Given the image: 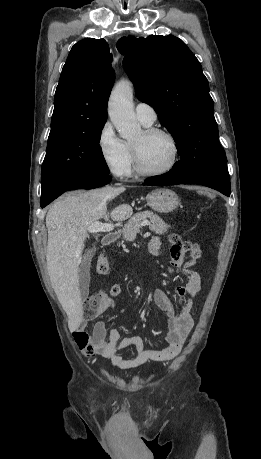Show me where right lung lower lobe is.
Listing matches in <instances>:
<instances>
[{
	"label": "right lung lower lobe",
	"mask_w": 261,
	"mask_h": 459,
	"mask_svg": "<svg viewBox=\"0 0 261 459\" xmlns=\"http://www.w3.org/2000/svg\"><path fill=\"white\" fill-rule=\"evenodd\" d=\"M111 181L109 176H96V177H81L70 180L60 185L49 196L41 199V207L44 208L62 193L73 189H92L108 184Z\"/></svg>",
	"instance_id": "98d812e1"
}]
</instances>
